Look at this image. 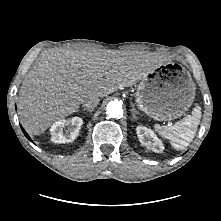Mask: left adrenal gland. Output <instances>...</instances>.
<instances>
[{
  "mask_svg": "<svg viewBox=\"0 0 221 221\" xmlns=\"http://www.w3.org/2000/svg\"><path fill=\"white\" fill-rule=\"evenodd\" d=\"M131 105H132L131 113H132L133 119H137V116H136L137 111L134 108V104H131Z\"/></svg>",
  "mask_w": 221,
  "mask_h": 221,
  "instance_id": "1",
  "label": "left adrenal gland"
}]
</instances>
